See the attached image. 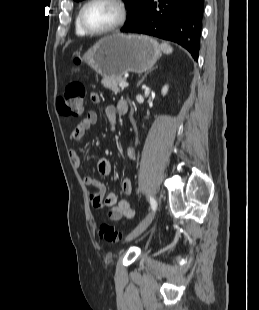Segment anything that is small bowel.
I'll list each match as a JSON object with an SVG mask.
<instances>
[{
  "mask_svg": "<svg viewBox=\"0 0 259 310\" xmlns=\"http://www.w3.org/2000/svg\"><path fill=\"white\" fill-rule=\"evenodd\" d=\"M91 100L94 103L100 102V96L97 92L91 93ZM123 101H119L116 106L107 105L104 108L105 115L109 120L112 128L116 124V112L118 111L119 105ZM97 121V114L94 111H89L85 118H83L71 131L70 141L76 143L82 139L86 131L93 126ZM128 155L134 160L135 149L132 145L128 147ZM70 157L76 167H80V157L77 150L72 148L70 150ZM98 173L102 176H108L111 172V163L107 159H100L97 163ZM83 182L86 186L92 187L93 192L90 195V201L93 208L97 210H107L108 216L113 221L121 220L122 218L130 219L134 216V210L131 207L129 201L125 198L119 199L115 192H110L105 195L104 184L93 177L92 175H84ZM121 191L125 195L132 193V181L130 178H124L121 182Z\"/></svg>",
  "mask_w": 259,
  "mask_h": 310,
  "instance_id": "obj_1",
  "label": "small bowel"
}]
</instances>
